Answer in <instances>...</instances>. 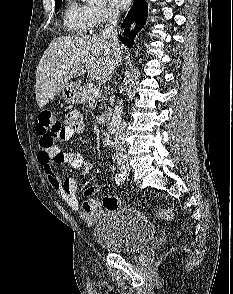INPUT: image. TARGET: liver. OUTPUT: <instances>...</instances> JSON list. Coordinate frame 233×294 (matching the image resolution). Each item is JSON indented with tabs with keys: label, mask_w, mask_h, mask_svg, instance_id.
<instances>
[{
	"label": "liver",
	"mask_w": 233,
	"mask_h": 294,
	"mask_svg": "<svg viewBox=\"0 0 233 294\" xmlns=\"http://www.w3.org/2000/svg\"><path fill=\"white\" fill-rule=\"evenodd\" d=\"M124 46L103 36L54 39L36 71L35 93L39 108L53 100L72 78L87 72L91 79L108 77L121 61Z\"/></svg>",
	"instance_id": "obj_1"
}]
</instances>
